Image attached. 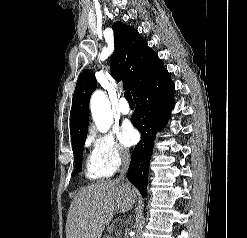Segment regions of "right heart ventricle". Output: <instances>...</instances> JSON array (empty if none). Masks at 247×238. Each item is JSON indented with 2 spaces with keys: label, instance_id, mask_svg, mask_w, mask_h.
Masks as SVG:
<instances>
[{
  "label": "right heart ventricle",
  "instance_id": "obj_1",
  "mask_svg": "<svg viewBox=\"0 0 247 238\" xmlns=\"http://www.w3.org/2000/svg\"><path fill=\"white\" fill-rule=\"evenodd\" d=\"M84 173L89 180L107 178L112 174L93 151L86 156Z\"/></svg>",
  "mask_w": 247,
  "mask_h": 238
}]
</instances>
